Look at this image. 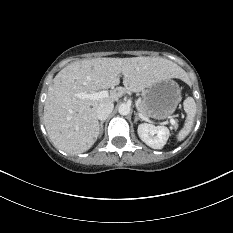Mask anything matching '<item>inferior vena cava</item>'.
<instances>
[{"instance_id":"1","label":"inferior vena cava","mask_w":233,"mask_h":233,"mask_svg":"<svg viewBox=\"0 0 233 233\" xmlns=\"http://www.w3.org/2000/svg\"><path fill=\"white\" fill-rule=\"evenodd\" d=\"M113 108L114 104L111 102L100 104L96 110L97 118L101 121L106 120L108 116L112 113Z\"/></svg>"}]
</instances>
